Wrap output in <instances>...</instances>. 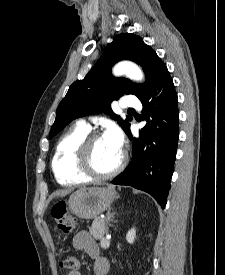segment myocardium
<instances>
[{"mask_svg": "<svg viewBox=\"0 0 225 275\" xmlns=\"http://www.w3.org/2000/svg\"><path fill=\"white\" fill-rule=\"evenodd\" d=\"M103 137L98 132L88 133L79 143L76 149V169L86 178L93 180H106L118 175L125 167L127 156L125 152H121V158L117 166L108 173L96 172L91 164V152L93 143Z\"/></svg>", "mask_w": 225, "mask_h": 275, "instance_id": "f54148a6", "label": "myocardium"}]
</instances>
